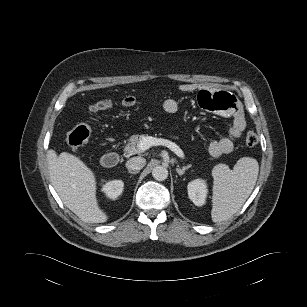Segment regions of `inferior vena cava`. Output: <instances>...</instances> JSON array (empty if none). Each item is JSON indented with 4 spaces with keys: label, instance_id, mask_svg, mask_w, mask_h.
I'll return each mask as SVG.
<instances>
[{
    "label": "inferior vena cava",
    "instance_id": "inferior-vena-cava-1",
    "mask_svg": "<svg viewBox=\"0 0 307 307\" xmlns=\"http://www.w3.org/2000/svg\"><path fill=\"white\" fill-rule=\"evenodd\" d=\"M146 164V160L142 157H133L130 158L127 162H126V167L129 170H140L142 169Z\"/></svg>",
    "mask_w": 307,
    "mask_h": 307
}]
</instances>
